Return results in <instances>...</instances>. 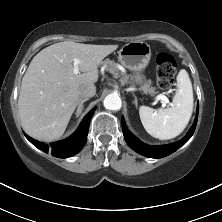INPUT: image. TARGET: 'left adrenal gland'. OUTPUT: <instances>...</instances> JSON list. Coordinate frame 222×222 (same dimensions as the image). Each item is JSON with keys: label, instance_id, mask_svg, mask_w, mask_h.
<instances>
[{"label": "left adrenal gland", "instance_id": "1", "mask_svg": "<svg viewBox=\"0 0 222 222\" xmlns=\"http://www.w3.org/2000/svg\"><path fill=\"white\" fill-rule=\"evenodd\" d=\"M134 98H135V100L133 101V103H134V104H135V106L137 107V105H138L137 97H136V96H134Z\"/></svg>", "mask_w": 222, "mask_h": 222}]
</instances>
